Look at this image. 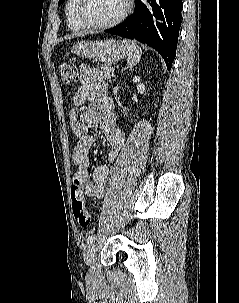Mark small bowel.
<instances>
[{
	"instance_id": "1",
	"label": "small bowel",
	"mask_w": 239,
	"mask_h": 303,
	"mask_svg": "<svg viewBox=\"0 0 239 303\" xmlns=\"http://www.w3.org/2000/svg\"><path fill=\"white\" fill-rule=\"evenodd\" d=\"M88 101L94 102V105L86 112L85 121L88 125H101L107 141L112 146L108 160L113 161L125 144V135L116 124L107 83L97 69L83 64L80 67V86L74 94L73 104L79 106ZM70 124L75 136L72 162L76 167V173L73 178V187L79 188L89 197L102 198L108 187L109 166L98 165L93 170L92 176L89 175V152L94 144V137L80 128L75 110L70 113Z\"/></svg>"
}]
</instances>
